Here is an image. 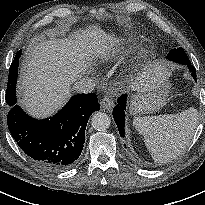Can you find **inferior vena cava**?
<instances>
[{"instance_id":"1","label":"inferior vena cava","mask_w":205,"mask_h":205,"mask_svg":"<svg viewBox=\"0 0 205 205\" xmlns=\"http://www.w3.org/2000/svg\"><path fill=\"white\" fill-rule=\"evenodd\" d=\"M96 83L92 78H83L74 84V89L80 93H90L95 89Z\"/></svg>"}]
</instances>
